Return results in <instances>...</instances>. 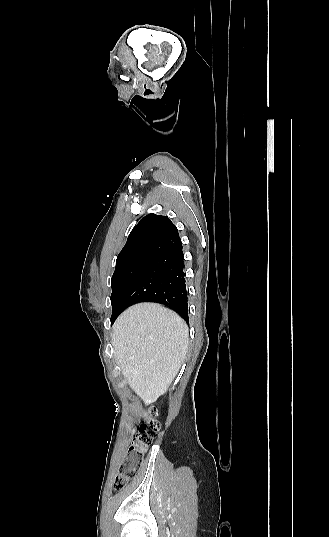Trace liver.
<instances>
[{"label": "liver", "mask_w": 329, "mask_h": 537, "mask_svg": "<svg viewBox=\"0 0 329 537\" xmlns=\"http://www.w3.org/2000/svg\"><path fill=\"white\" fill-rule=\"evenodd\" d=\"M112 329L114 357L123 376L143 401L154 402L185 360L187 324L159 304L140 303L126 309Z\"/></svg>", "instance_id": "liver-1"}]
</instances>
